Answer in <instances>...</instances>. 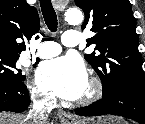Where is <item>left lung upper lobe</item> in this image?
<instances>
[{
  "mask_svg": "<svg viewBox=\"0 0 145 124\" xmlns=\"http://www.w3.org/2000/svg\"><path fill=\"white\" fill-rule=\"evenodd\" d=\"M85 13L82 30L96 35L87 40L95 44V52L84 55L99 75L103 95L122 86L145 90L142 59L138 51L136 20L129 0H75Z\"/></svg>",
  "mask_w": 145,
  "mask_h": 124,
  "instance_id": "obj_1",
  "label": "left lung upper lobe"
}]
</instances>
